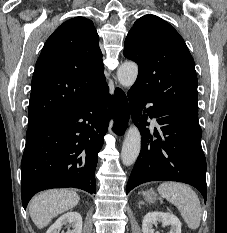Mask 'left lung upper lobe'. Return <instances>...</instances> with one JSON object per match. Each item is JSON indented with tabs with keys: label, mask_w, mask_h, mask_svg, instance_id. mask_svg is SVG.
Instances as JSON below:
<instances>
[{
	"label": "left lung upper lobe",
	"mask_w": 227,
	"mask_h": 233,
	"mask_svg": "<svg viewBox=\"0 0 227 233\" xmlns=\"http://www.w3.org/2000/svg\"><path fill=\"white\" fill-rule=\"evenodd\" d=\"M124 56L139 66L132 88L198 122L195 63L169 23L155 15L140 17L126 37Z\"/></svg>",
	"instance_id": "left-lung-upper-lobe-1"
}]
</instances>
